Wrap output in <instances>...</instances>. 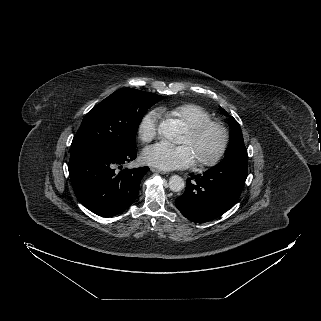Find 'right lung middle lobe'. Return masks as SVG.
Masks as SVG:
<instances>
[{
    "label": "right lung middle lobe",
    "mask_w": 321,
    "mask_h": 321,
    "mask_svg": "<svg viewBox=\"0 0 321 321\" xmlns=\"http://www.w3.org/2000/svg\"><path fill=\"white\" fill-rule=\"evenodd\" d=\"M163 98L132 88L115 91L86 114L71 148L92 145L118 151L134 149L145 112Z\"/></svg>",
    "instance_id": "1"
}]
</instances>
